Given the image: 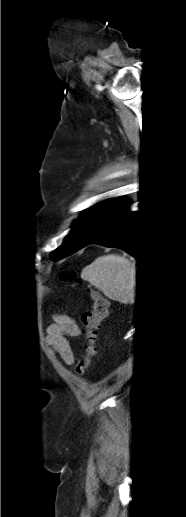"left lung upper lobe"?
<instances>
[{
    "mask_svg": "<svg viewBox=\"0 0 186 517\" xmlns=\"http://www.w3.org/2000/svg\"><path fill=\"white\" fill-rule=\"evenodd\" d=\"M119 198H112L98 203L83 213L63 244L50 254L52 259H61L81 249L90 239L95 224L112 208Z\"/></svg>",
    "mask_w": 186,
    "mask_h": 517,
    "instance_id": "5c2ea615",
    "label": "left lung upper lobe"
}]
</instances>
